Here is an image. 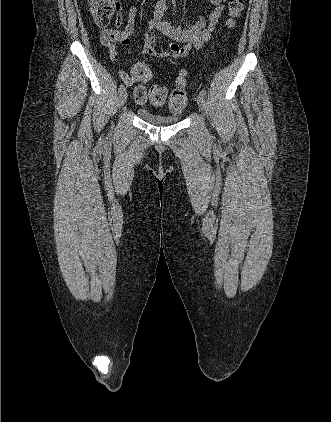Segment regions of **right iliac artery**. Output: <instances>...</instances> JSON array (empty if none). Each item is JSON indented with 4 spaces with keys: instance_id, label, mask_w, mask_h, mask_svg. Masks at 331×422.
<instances>
[{
    "instance_id": "right-iliac-artery-1",
    "label": "right iliac artery",
    "mask_w": 331,
    "mask_h": 422,
    "mask_svg": "<svg viewBox=\"0 0 331 422\" xmlns=\"http://www.w3.org/2000/svg\"><path fill=\"white\" fill-rule=\"evenodd\" d=\"M123 90H125V86H124V84H121L120 87H119V92H122Z\"/></svg>"
}]
</instances>
